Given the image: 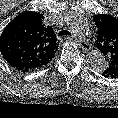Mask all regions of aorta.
I'll use <instances>...</instances> for the list:
<instances>
[{
	"label": "aorta",
	"mask_w": 118,
	"mask_h": 118,
	"mask_svg": "<svg viewBox=\"0 0 118 118\" xmlns=\"http://www.w3.org/2000/svg\"><path fill=\"white\" fill-rule=\"evenodd\" d=\"M66 23L77 36L85 38L90 35L89 25L80 15L70 13L66 18ZM86 62L88 67L96 72H103L107 67V61L100 51L89 53Z\"/></svg>",
	"instance_id": "762f6f07"
}]
</instances>
